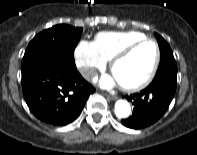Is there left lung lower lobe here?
Masks as SVG:
<instances>
[{
  "instance_id": "obj_1",
  "label": "left lung lower lobe",
  "mask_w": 197,
  "mask_h": 155,
  "mask_svg": "<svg viewBox=\"0 0 197 155\" xmlns=\"http://www.w3.org/2000/svg\"><path fill=\"white\" fill-rule=\"evenodd\" d=\"M177 86V79L171 77L154 78L152 83L140 93L127 96L135 106L128 119L121 120L128 128L141 129L155 123L168 109Z\"/></svg>"
}]
</instances>
